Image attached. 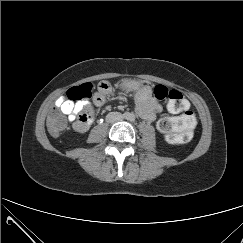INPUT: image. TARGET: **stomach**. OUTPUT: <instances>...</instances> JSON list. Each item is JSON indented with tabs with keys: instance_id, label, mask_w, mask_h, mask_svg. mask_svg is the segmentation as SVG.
Listing matches in <instances>:
<instances>
[{
	"instance_id": "stomach-1",
	"label": "stomach",
	"mask_w": 243,
	"mask_h": 243,
	"mask_svg": "<svg viewBox=\"0 0 243 243\" xmlns=\"http://www.w3.org/2000/svg\"><path fill=\"white\" fill-rule=\"evenodd\" d=\"M124 85H125L127 88H132V89L138 87V85H137L134 81H126V82L124 83Z\"/></svg>"
}]
</instances>
